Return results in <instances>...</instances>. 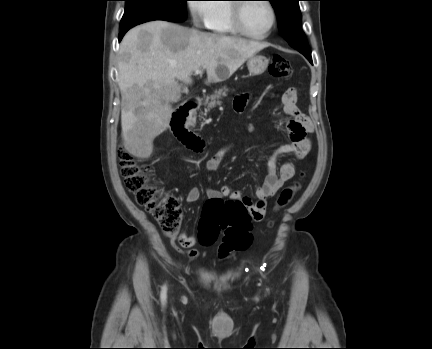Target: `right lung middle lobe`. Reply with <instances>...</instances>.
I'll return each instance as SVG.
<instances>
[{
	"mask_svg": "<svg viewBox=\"0 0 432 349\" xmlns=\"http://www.w3.org/2000/svg\"><path fill=\"white\" fill-rule=\"evenodd\" d=\"M121 30L152 20L182 22L186 20L188 0H125Z\"/></svg>",
	"mask_w": 432,
	"mask_h": 349,
	"instance_id": "1",
	"label": "right lung middle lobe"
}]
</instances>
